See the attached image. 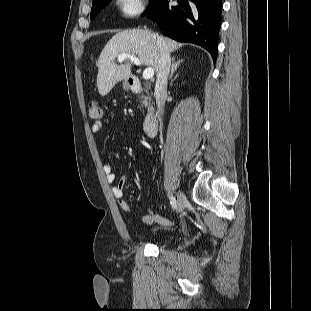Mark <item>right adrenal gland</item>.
Listing matches in <instances>:
<instances>
[{
    "mask_svg": "<svg viewBox=\"0 0 311 311\" xmlns=\"http://www.w3.org/2000/svg\"><path fill=\"white\" fill-rule=\"evenodd\" d=\"M183 62V59H179V60H175V57L172 58V65H171V71L169 74V80L172 79L174 72L177 70V68L179 67V65Z\"/></svg>",
    "mask_w": 311,
    "mask_h": 311,
    "instance_id": "2a0ac1e0",
    "label": "right adrenal gland"
}]
</instances>
